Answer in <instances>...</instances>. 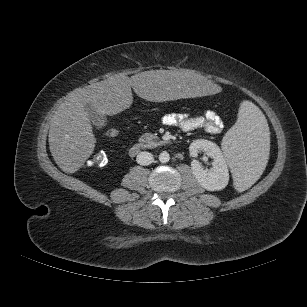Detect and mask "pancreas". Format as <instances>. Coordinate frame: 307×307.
<instances>
[{
	"mask_svg": "<svg viewBox=\"0 0 307 307\" xmlns=\"http://www.w3.org/2000/svg\"><path fill=\"white\" fill-rule=\"evenodd\" d=\"M139 142L148 143V144H152V145H159L160 143H162V141H158L157 135L152 134V133H145V134L141 135L140 138H139Z\"/></svg>",
	"mask_w": 307,
	"mask_h": 307,
	"instance_id": "cf45deb5",
	"label": "pancreas"
}]
</instances>
